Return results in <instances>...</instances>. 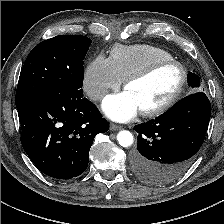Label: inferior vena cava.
<instances>
[{
    "label": "inferior vena cava",
    "instance_id": "obj_1",
    "mask_svg": "<svg viewBox=\"0 0 224 224\" xmlns=\"http://www.w3.org/2000/svg\"><path fill=\"white\" fill-rule=\"evenodd\" d=\"M106 92L104 90H94L89 93V97L91 100H101L105 96Z\"/></svg>",
    "mask_w": 224,
    "mask_h": 224
}]
</instances>
